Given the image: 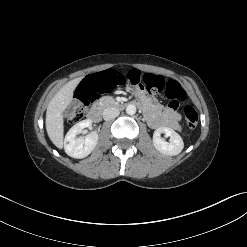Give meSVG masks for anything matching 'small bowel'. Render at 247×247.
<instances>
[{
	"label": "small bowel",
	"mask_w": 247,
	"mask_h": 247,
	"mask_svg": "<svg viewBox=\"0 0 247 247\" xmlns=\"http://www.w3.org/2000/svg\"><path fill=\"white\" fill-rule=\"evenodd\" d=\"M134 91L138 101L143 104L144 115L152 128H170L176 131L181 129L180 114L175 107L169 106L167 109L161 110L153 103L144 88L135 86Z\"/></svg>",
	"instance_id": "1"
}]
</instances>
